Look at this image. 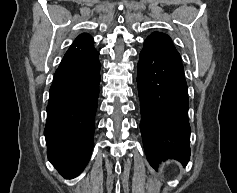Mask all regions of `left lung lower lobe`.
I'll return each mask as SVG.
<instances>
[{"label": "left lung lower lobe", "mask_w": 237, "mask_h": 193, "mask_svg": "<svg viewBox=\"0 0 237 193\" xmlns=\"http://www.w3.org/2000/svg\"><path fill=\"white\" fill-rule=\"evenodd\" d=\"M143 144L153 168L190 157L188 88L180 54L145 40L137 65Z\"/></svg>", "instance_id": "0a47b994"}]
</instances>
